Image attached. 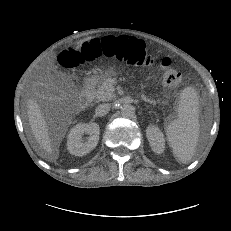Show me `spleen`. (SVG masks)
<instances>
[{
    "mask_svg": "<svg viewBox=\"0 0 231 231\" xmlns=\"http://www.w3.org/2000/svg\"><path fill=\"white\" fill-rule=\"evenodd\" d=\"M198 104L195 89L185 88L180 96L178 118L165 128L168 144L175 158L182 163L189 162L196 151L200 133Z\"/></svg>",
    "mask_w": 231,
    "mask_h": 231,
    "instance_id": "3e777b00",
    "label": "spleen"
}]
</instances>
